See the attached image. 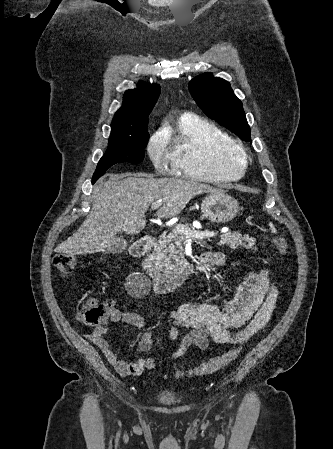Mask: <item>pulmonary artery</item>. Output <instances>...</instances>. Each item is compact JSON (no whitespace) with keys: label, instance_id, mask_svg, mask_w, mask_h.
Here are the masks:
<instances>
[{"label":"pulmonary artery","instance_id":"pulmonary-artery-1","mask_svg":"<svg viewBox=\"0 0 333 449\" xmlns=\"http://www.w3.org/2000/svg\"><path fill=\"white\" fill-rule=\"evenodd\" d=\"M184 118H188V115H184Z\"/></svg>","mask_w":333,"mask_h":449}]
</instances>
